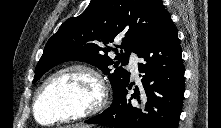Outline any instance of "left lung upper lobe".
<instances>
[{
  "instance_id": "left-lung-upper-lobe-1",
  "label": "left lung upper lobe",
  "mask_w": 221,
  "mask_h": 128,
  "mask_svg": "<svg viewBox=\"0 0 221 128\" xmlns=\"http://www.w3.org/2000/svg\"><path fill=\"white\" fill-rule=\"evenodd\" d=\"M168 14L162 0H91L81 15L66 20L48 40L33 83L53 66L78 60L108 75L115 97L129 83L130 73L122 66L128 64L130 52L136 53ZM115 41L120 45L110 47ZM112 50L116 61L107 56Z\"/></svg>"
}]
</instances>
